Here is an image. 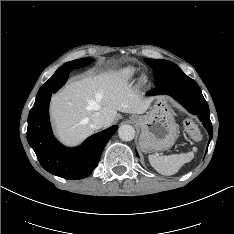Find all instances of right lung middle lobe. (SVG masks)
I'll return each mask as SVG.
<instances>
[{"label":"right lung middle lobe","instance_id":"right-lung-middle-lobe-1","mask_svg":"<svg viewBox=\"0 0 234 234\" xmlns=\"http://www.w3.org/2000/svg\"><path fill=\"white\" fill-rule=\"evenodd\" d=\"M91 62H93L92 58L77 59V60H73V61L65 63L59 69H67L71 71L74 68H80V67L86 66L90 64Z\"/></svg>","mask_w":234,"mask_h":234}]
</instances>
